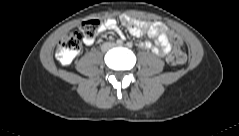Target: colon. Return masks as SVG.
Listing matches in <instances>:
<instances>
[{
  "instance_id": "colon-1",
  "label": "colon",
  "mask_w": 239,
  "mask_h": 136,
  "mask_svg": "<svg viewBox=\"0 0 239 136\" xmlns=\"http://www.w3.org/2000/svg\"><path fill=\"white\" fill-rule=\"evenodd\" d=\"M100 28L98 20L90 19L83 22L79 31L68 32L59 42L57 49V58L59 62L67 66L74 57L78 54L82 46V39H93ZM171 42L174 44V49L168 57V62L172 66H177L185 61L186 54L183 48L182 40L179 35L174 32L169 34Z\"/></svg>"
}]
</instances>
